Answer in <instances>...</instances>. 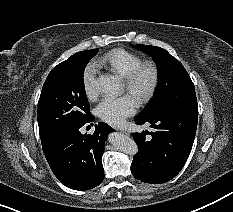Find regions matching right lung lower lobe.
<instances>
[{
    "label": "right lung lower lobe",
    "mask_w": 233,
    "mask_h": 212,
    "mask_svg": "<svg viewBox=\"0 0 233 212\" xmlns=\"http://www.w3.org/2000/svg\"><path fill=\"white\" fill-rule=\"evenodd\" d=\"M90 117L79 124L66 128L42 141V148L51 170L58 180L74 190H88L98 186L104 179L102 155L104 143L110 132L106 123L95 126L93 135L80 132L84 124L93 125Z\"/></svg>",
    "instance_id": "right-lung-lower-lobe-1"
}]
</instances>
